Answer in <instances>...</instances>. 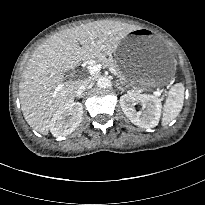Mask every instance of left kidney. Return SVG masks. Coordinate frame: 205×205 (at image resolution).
Here are the masks:
<instances>
[{
	"label": "left kidney",
	"mask_w": 205,
	"mask_h": 205,
	"mask_svg": "<svg viewBox=\"0 0 205 205\" xmlns=\"http://www.w3.org/2000/svg\"><path fill=\"white\" fill-rule=\"evenodd\" d=\"M120 106L128 119L136 126L150 129L157 126L161 117V99L156 95L128 93L120 97ZM141 104L143 110L137 111L136 104Z\"/></svg>",
	"instance_id": "5707ae66"
}]
</instances>
